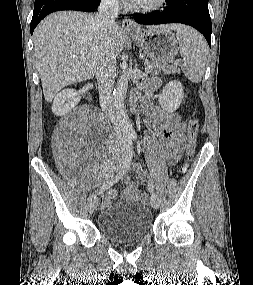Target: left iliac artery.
Returning a JSON list of instances; mask_svg holds the SVG:
<instances>
[{
    "mask_svg": "<svg viewBox=\"0 0 253 285\" xmlns=\"http://www.w3.org/2000/svg\"><path fill=\"white\" fill-rule=\"evenodd\" d=\"M130 138H131L132 140H136L137 136H136L135 133H132V134L130 135ZM147 186H148L149 192H150V193H154V183H153V180H152V179H149Z\"/></svg>",
    "mask_w": 253,
    "mask_h": 285,
    "instance_id": "left-iliac-artery-1",
    "label": "left iliac artery"
}]
</instances>
